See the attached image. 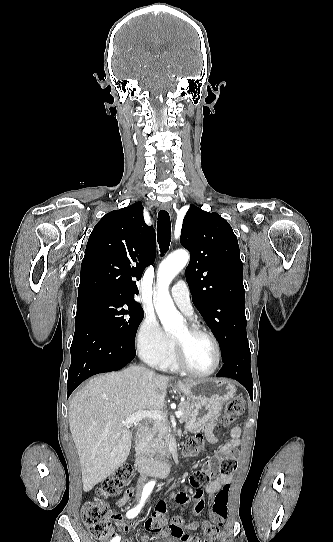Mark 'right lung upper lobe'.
<instances>
[{
  "instance_id": "right-lung-upper-lobe-1",
  "label": "right lung upper lobe",
  "mask_w": 333,
  "mask_h": 542,
  "mask_svg": "<svg viewBox=\"0 0 333 542\" xmlns=\"http://www.w3.org/2000/svg\"><path fill=\"white\" fill-rule=\"evenodd\" d=\"M155 231L146 225L143 206L106 214L95 225L81 264L77 304L92 296L136 303V281L155 260Z\"/></svg>"
}]
</instances>
